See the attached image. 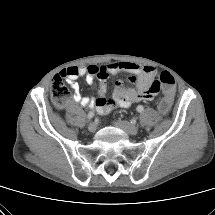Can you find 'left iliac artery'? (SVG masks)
<instances>
[{"label": "left iliac artery", "instance_id": "44dca946", "mask_svg": "<svg viewBox=\"0 0 215 215\" xmlns=\"http://www.w3.org/2000/svg\"><path fill=\"white\" fill-rule=\"evenodd\" d=\"M136 109H137L138 112L141 113V112H143L144 107L142 105H138Z\"/></svg>", "mask_w": 215, "mask_h": 215}]
</instances>
